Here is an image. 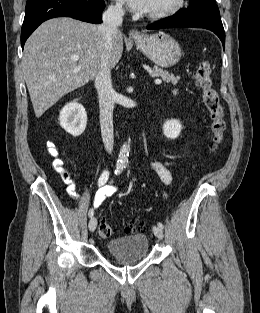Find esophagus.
Masks as SVG:
<instances>
[{
	"label": "esophagus",
	"mask_w": 260,
	"mask_h": 313,
	"mask_svg": "<svg viewBox=\"0 0 260 313\" xmlns=\"http://www.w3.org/2000/svg\"><path fill=\"white\" fill-rule=\"evenodd\" d=\"M129 36L133 40H138L142 37L141 33L138 30H134V29L130 30Z\"/></svg>",
	"instance_id": "1"
}]
</instances>
